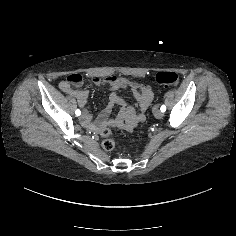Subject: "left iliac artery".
I'll return each mask as SVG.
<instances>
[{
	"instance_id": "left-iliac-artery-1",
	"label": "left iliac artery",
	"mask_w": 236,
	"mask_h": 236,
	"mask_svg": "<svg viewBox=\"0 0 236 236\" xmlns=\"http://www.w3.org/2000/svg\"><path fill=\"white\" fill-rule=\"evenodd\" d=\"M160 110H161L162 112H165V111H166V106H165V105H162L161 108H160Z\"/></svg>"
}]
</instances>
